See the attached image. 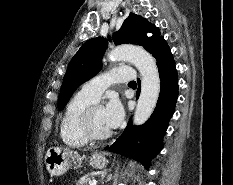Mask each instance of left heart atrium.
Listing matches in <instances>:
<instances>
[{"label": "left heart atrium", "instance_id": "1", "mask_svg": "<svg viewBox=\"0 0 233 185\" xmlns=\"http://www.w3.org/2000/svg\"><path fill=\"white\" fill-rule=\"evenodd\" d=\"M103 112L105 121L110 130L119 126L124 117L123 106L117 98H111L103 108Z\"/></svg>", "mask_w": 233, "mask_h": 185}]
</instances>
